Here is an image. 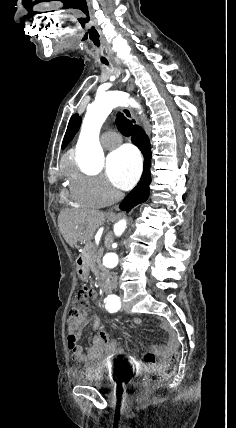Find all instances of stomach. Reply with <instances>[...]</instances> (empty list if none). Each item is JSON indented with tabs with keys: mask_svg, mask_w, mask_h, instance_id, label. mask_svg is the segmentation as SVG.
<instances>
[{
	"mask_svg": "<svg viewBox=\"0 0 236 428\" xmlns=\"http://www.w3.org/2000/svg\"><path fill=\"white\" fill-rule=\"evenodd\" d=\"M77 273H78L79 279H83L84 283L92 282L93 278H92L89 266H78Z\"/></svg>",
	"mask_w": 236,
	"mask_h": 428,
	"instance_id": "stomach-1",
	"label": "stomach"
}]
</instances>
